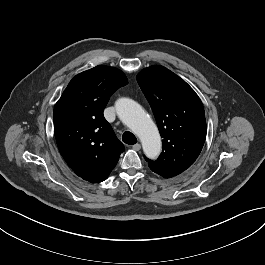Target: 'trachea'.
<instances>
[{
  "mask_svg": "<svg viewBox=\"0 0 265 265\" xmlns=\"http://www.w3.org/2000/svg\"><path fill=\"white\" fill-rule=\"evenodd\" d=\"M122 141L128 145H134L137 143V138L133 133L126 131L122 135Z\"/></svg>",
  "mask_w": 265,
  "mask_h": 265,
  "instance_id": "3493384b",
  "label": "trachea"
}]
</instances>
